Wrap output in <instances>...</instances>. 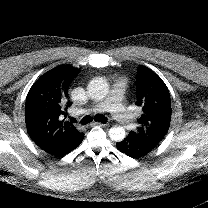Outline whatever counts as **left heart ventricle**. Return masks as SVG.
Returning <instances> with one entry per match:
<instances>
[{"instance_id":"left-heart-ventricle-1","label":"left heart ventricle","mask_w":208,"mask_h":208,"mask_svg":"<svg viewBox=\"0 0 208 208\" xmlns=\"http://www.w3.org/2000/svg\"><path fill=\"white\" fill-rule=\"evenodd\" d=\"M108 95H109V94H108V93H106V94L103 96V98H102V99H103V100H104V99H106V98L108 97Z\"/></svg>"}]
</instances>
